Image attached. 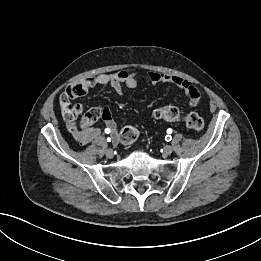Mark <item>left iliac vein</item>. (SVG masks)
<instances>
[{
	"label": "left iliac vein",
	"mask_w": 261,
	"mask_h": 261,
	"mask_svg": "<svg viewBox=\"0 0 261 261\" xmlns=\"http://www.w3.org/2000/svg\"><path fill=\"white\" fill-rule=\"evenodd\" d=\"M172 151H173V148H172V146H170V145H166V146H164V148H163V153H164L165 155H170V154L172 153Z\"/></svg>",
	"instance_id": "left-iliac-vein-1"
}]
</instances>
